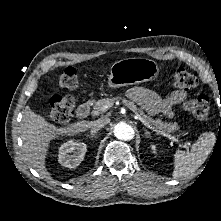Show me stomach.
<instances>
[{
  "label": "stomach",
  "mask_w": 221,
  "mask_h": 221,
  "mask_svg": "<svg viewBox=\"0 0 221 221\" xmlns=\"http://www.w3.org/2000/svg\"><path fill=\"white\" fill-rule=\"evenodd\" d=\"M159 75L157 63L147 58H126L111 67L107 87L115 89L156 79Z\"/></svg>",
  "instance_id": "0dacf381"
}]
</instances>
